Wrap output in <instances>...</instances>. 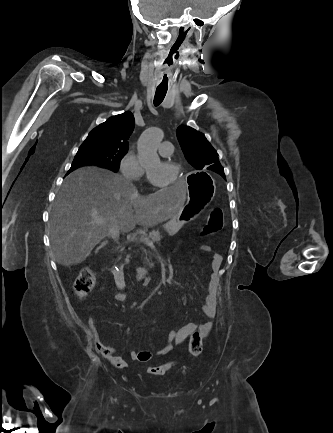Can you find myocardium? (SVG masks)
<instances>
[{
  "label": "myocardium",
  "mask_w": 333,
  "mask_h": 433,
  "mask_svg": "<svg viewBox=\"0 0 333 433\" xmlns=\"http://www.w3.org/2000/svg\"><path fill=\"white\" fill-rule=\"evenodd\" d=\"M162 162L174 170V177H173L172 181H170L167 184H158L155 181H153L151 177H149V180L152 183V185H154L155 187H157L159 189L172 188L178 183V174H179L180 167L176 162L169 160V159H164Z\"/></svg>",
  "instance_id": "f54148a6"
}]
</instances>
